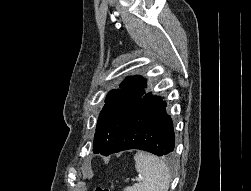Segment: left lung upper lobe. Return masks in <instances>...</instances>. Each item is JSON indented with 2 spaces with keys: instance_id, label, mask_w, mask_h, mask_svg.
<instances>
[{
  "instance_id": "1",
  "label": "left lung upper lobe",
  "mask_w": 251,
  "mask_h": 191,
  "mask_svg": "<svg viewBox=\"0 0 251 191\" xmlns=\"http://www.w3.org/2000/svg\"><path fill=\"white\" fill-rule=\"evenodd\" d=\"M146 83L142 76H131L121 83L120 89L109 92L97 122L93 142L94 153L108 155L134 107L146 94Z\"/></svg>"
}]
</instances>
